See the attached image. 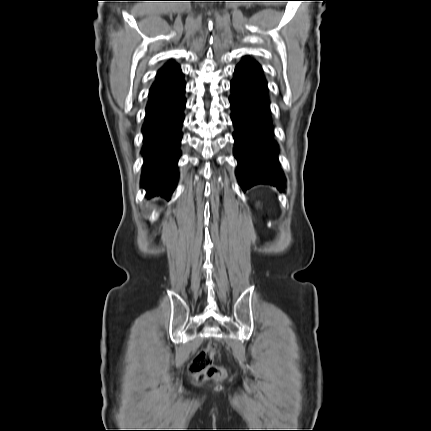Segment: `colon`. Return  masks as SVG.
I'll return each mask as SVG.
<instances>
[{
	"instance_id": "obj_1",
	"label": "colon",
	"mask_w": 431,
	"mask_h": 431,
	"mask_svg": "<svg viewBox=\"0 0 431 431\" xmlns=\"http://www.w3.org/2000/svg\"><path fill=\"white\" fill-rule=\"evenodd\" d=\"M219 351V346L211 342L204 349H202L190 364V374L199 383L207 380L221 381L226 377L224 368L213 365V359Z\"/></svg>"
}]
</instances>
